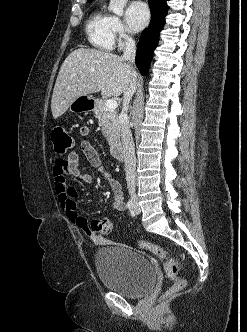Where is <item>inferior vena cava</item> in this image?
I'll list each match as a JSON object with an SVG mask.
<instances>
[{
	"mask_svg": "<svg viewBox=\"0 0 247 332\" xmlns=\"http://www.w3.org/2000/svg\"><path fill=\"white\" fill-rule=\"evenodd\" d=\"M136 56V44L135 41L128 37L125 42V49L123 54V59L129 61L130 63L135 62ZM136 90V72L133 71L132 81L128 90L124 93L123 96V107L119 115L120 120V129H121V139L123 146V155L125 163V174L126 182L129 194L132 198L136 197L135 193V168H136V157H135V148L132 138V133L129 126V117H128V108L130 100Z\"/></svg>",
	"mask_w": 247,
	"mask_h": 332,
	"instance_id": "1",
	"label": "inferior vena cava"
}]
</instances>
